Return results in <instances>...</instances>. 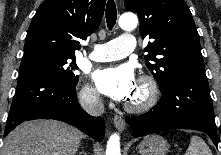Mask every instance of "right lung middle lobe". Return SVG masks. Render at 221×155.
Wrapping results in <instances>:
<instances>
[{"label": "right lung middle lobe", "mask_w": 221, "mask_h": 155, "mask_svg": "<svg viewBox=\"0 0 221 155\" xmlns=\"http://www.w3.org/2000/svg\"><path fill=\"white\" fill-rule=\"evenodd\" d=\"M76 69L78 67L74 57H63L50 53H35L23 56L19 75L30 70H36L49 74L62 83L74 85L78 81V76L73 72Z\"/></svg>", "instance_id": "obj_1"}]
</instances>
